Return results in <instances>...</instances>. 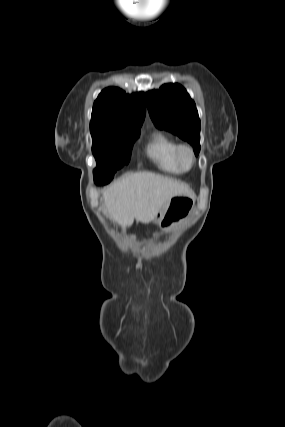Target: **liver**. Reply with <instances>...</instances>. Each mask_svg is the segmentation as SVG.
<instances>
[{"label": "liver", "instance_id": "liver-1", "mask_svg": "<svg viewBox=\"0 0 285 427\" xmlns=\"http://www.w3.org/2000/svg\"><path fill=\"white\" fill-rule=\"evenodd\" d=\"M194 197L190 187L171 178L138 172L117 180L103 192L105 211L123 229L134 220L153 221L165 204L175 196Z\"/></svg>", "mask_w": 285, "mask_h": 427}]
</instances>
